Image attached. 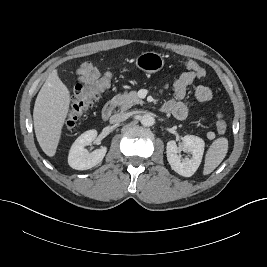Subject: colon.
<instances>
[{
    "label": "colon",
    "mask_w": 267,
    "mask_h": 267,
    "mask_svg": "<svg viewBox=\"0 0 267 267\" xmlns=\"http://www.w3.org/2000/svg\"><path fill=\"white\" fill-rule=\"evenodd\" d=\"M185 66L195 72L199 78L206 76L205 70L194 60H187ZM111 81L112 75L105 73L93 83L77 84L65 119L67 128H72L77 124L79 119L93 106L94 101L110 86ZM216 127L219 133L226 131L227 123L221 113L217 115Z\"/></svg>",
    "instance_id": "colon-1"
}]
</instances>
